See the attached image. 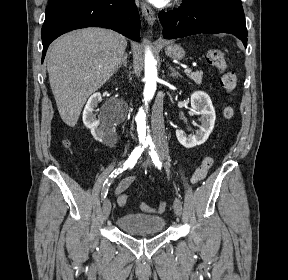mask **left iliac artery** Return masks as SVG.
I'll return each mask as SVG.
<instances>
[{
  "label": "left iliac artery",
  "instance_id": "left-iliac-artery-1",
  "mask_svg": "<svg viewBox=\"0 0 288 280\" xmlns=\"http://www.w3.org/2000/svg\"><path fill=\"white\" fill-rule=\"evenodd\" d=\"M149 146H150V151H149V154L152 158V161L153 163L155 164V166L161 170L162 168V162L159 160V157H155V152H156V147L154 145L153 142H148ZM172 191H173V195L176 196L175 197V200L178 202V203H183L184 202V199H183V193H180L179 191H177V188L176 187H173L172 188Z\"/></svg>",
  "mask_w": 288,
  "mask_h": 280
}]
</instances>
